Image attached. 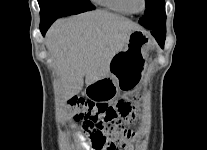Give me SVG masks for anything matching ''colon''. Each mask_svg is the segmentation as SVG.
Returning <instances> with one entry per match:
<instances>
[{
	"instance_id": "1",
	"label": "colon",
	"mask_w": 207,
	"mask_h": 150,
	"mask_svg": "<svg viewBox=\"0 0 207 150\" xmlns=\"http://www.w3.org/2000/svg\"><path fill=\"white\" fill-rule=\"evenodd\" d=\"M68 106L74 118L81 120L84 129L91 134L96 150H120L132 140L133 132L125 125L128 116L136 115L132 111V100L119 99L115 104H108L74 97L68 101ZM142 120L146 122L148 119L144 117Z\"/></svg>"
}]
</instances>
